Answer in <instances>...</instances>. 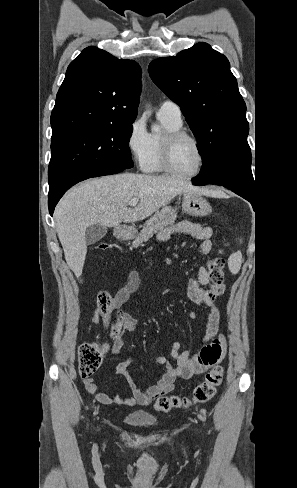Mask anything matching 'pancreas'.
<instances>
[{"instance_id":"1","label":"pancreas","mask_w":297,"mask_h":488,"mask_svg":"<svg viewBox=\"0 0 297 488\" xmlns=\"http://www.w3.org/2000/svg\"><path fill=\"white\" fill-rule=\"evenodd\" d=\"M177 219V209L171 206L164 207L162 210L156 212L149 220H147L133 242L134 247H138L143 242L148 241L153 234L161 230L164 226L174 224Z\"/></svg>"}]
</instances>
